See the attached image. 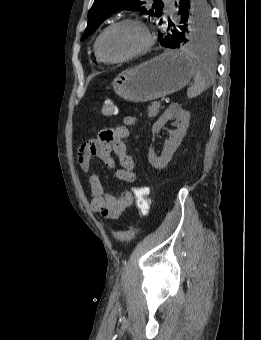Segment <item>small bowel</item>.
Instances as JSON below:
<instances>
[{
	"label": "small bowel",
	"instance_id": "c3829d8e",
	"mask_svg": "<svg viewBox=\"0 0 261 340\" xmlns=\"http://www.w3.org/2000/svg\"><path fill=\"white\" fill-rule=\"evenodd\" d=\"M135 122L134 116L126 115L121 126L102 129L96 138L83 141L77 147L78 164L84 173L89 174L91 209L108 219L120 218L131 207L133 193L125 190L119 196L110 194L105 183L94 171L93 161L99 159L108 169L114 171L119 180L133 183L136 180L135 164L127 153L125 139L129 135L128 128Z\"/></svg>",
	"mask_w": 261,
	"mask_h": 340
}]
</instances>
